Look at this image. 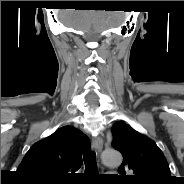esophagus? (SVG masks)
<instances>
[{
	"mask_svg": "<svg viewBox=\"0 0 184 184\" xmlns=\"http://www.w3.org/2000/svg\"><path fill=\"white\" fill-rule=\"evenodd\" d=\"M92 147L99 154L103 149V140L100 136H95L92 138Z\"/></svg>",
	"mask_w": 184,
	"mask_h": 184,
	"instance_id": "obj_1",
	"label": "esophagus"
}]
</instances>
